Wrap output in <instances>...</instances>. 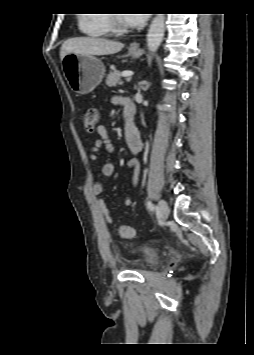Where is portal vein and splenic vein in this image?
I'll use <instances>...</instances> for the list:
<instances>
[{"instance_id": "18ae733b", "label": "portal vein and splenic vein", "mask_w": 254, "mask_h": 355, "mask_svg": "<svg viewBox=\"0 0 254 355\" xmlns=\"http://www.w3.org/2000/svg\"><path fill=\"white\" fill-rule=\"evenodd\" d=\"M132 75H133V72H131V71H123V72L121 73V76H122V77H125V78H127V79H130Z\"/></svg>"}]
</instances>
